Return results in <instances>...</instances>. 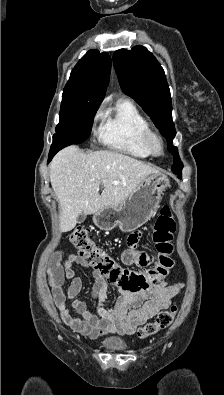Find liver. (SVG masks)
I'll return each instance as SVG.
<instances>
[{
	"mask_svg": "<svg viewBox=\"0 0 224 395\" xmlns=\"http://www.w3.org/2000/svg\"><path fill=\"white\" fill-rule=\"evenodd\" d=\"M50 181L61 208L60 230L71 231L79 214H95L126 199L154 168L118 151L61 150L50 163ZM100 186L103 187L101 195Z\"/></svg>",
	"mask_w": 224,
	"mask_h": 395,
	"instance_id": "obj_1",
	"label": "liver"
}]
</instances>
